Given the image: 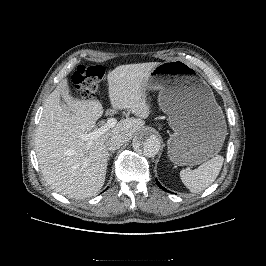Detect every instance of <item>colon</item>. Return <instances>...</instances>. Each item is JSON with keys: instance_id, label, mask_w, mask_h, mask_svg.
Returning <instances> with one entry per match:
<instances>
[{"instance_id": "5ec220e1", "label": "colon", "mask_w": 266, "mask_h": 266, "mask_svg": "<svg viewBox=\"0 0 266 266\" xmlns=\"http://www.w3.org/2000/svg\"><path fill=\"white\" fill-rule=\"evenodd\" d=\"M103 76L104 69L100 65L78 66L73 76L74 94L83 100H91Z\"/></svg>"}]
</instances>
